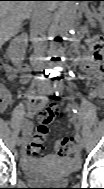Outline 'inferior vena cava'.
Wrapping results in <instances>:
<instances>
[{
  "label": "inferior vena cava",
  "mask_w": 104,
  "mask_h": 189,
  "mask_svg": "<svg viewBox=\"0 0 104 189\" xmlns=\"http://www.w3.org/2000/svg\"><path fill=\"white\" fill-rule=\"evenodd\" d=\"M47 9V7L43 6L35 9L31 14V33L35 37L46 29L47 19L49 17ZM43 50V43L41 41L36 42L34 55L36 57L37 65H40L38 69V83H40L39 88H50L51 82H49L47 62H44L43 58H41Z\"/></svg>",
  "instance_id": "1"
}]
</instances>
